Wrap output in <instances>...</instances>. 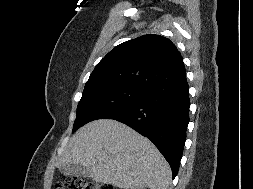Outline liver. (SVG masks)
<instances>
[{"label":"liver","mask_w":253,"mask_h":189,"mask_svg":"<svg viewBox=\"0 0 253 189\" xmlns=\"http://www.w3.org/2000/svg\"><path fill=\"white\" fill-rule=\"evenodd\" d=\"M80 164L92 180L122 189H168L171 169L152 142L130 127L99 119L71 138L58 167Z\"/></svg>","instance_id":"1"}]
</instances>
